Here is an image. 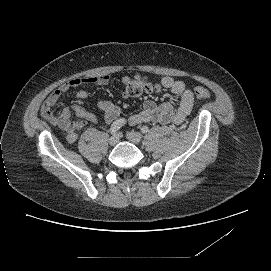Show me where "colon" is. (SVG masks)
I'll return each mask as SVG.
<instances>
[{
	"label": "colon",
	"mask_w": 271,
	"mask_h": 271,
	"mask_svg": "<svg viewBox=\"0 0 271 271\" xmlns=\"http://www.w3.org/2000/svg\"><path fill=\"white\" fill-rule=\"evenodd\" d=\"M160 90L159 85L145 77L135 76L127 86L129 96H139L143 93H154ZM194 95L198 99H210L211 94L208 90L197 87L194 89Z\"/></svg>",
	"instance_id": "5ec220e1"
}]
</instances>
